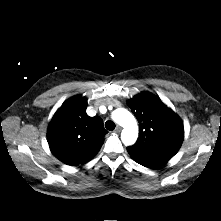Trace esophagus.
Instances as JSON below:
<instances>
[{
	"instance_id": "esophagus-1",
	"label": "esophagus",
	"mask_w": 221,
	"mask_h": 221,
	"mask_svg": "<svg viewBox=\"0 0 221 221\" xmlns=\"http://www.w3.org/2000/svg\"><path fill=\"white\" fill-rule=\"evenodd\" d=\"M122 128L120 126H117L114 130L115 133H120Z\"/></svg>"
}]
</instances>
